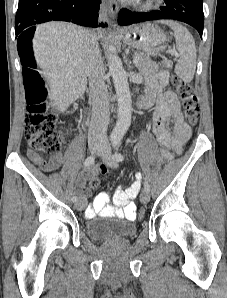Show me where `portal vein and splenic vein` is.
<instances>
[{"instance_id": "1", "label": "portal vein and splenic vein", "mask_w": 227, "mask_h": 298, "mask_svg": "<svg viewBox=\"0 0 227 298\" xmlns=\"http://www.w3.org/2000/svg\"><path fill=\"white\" fill-rule=\"evenodd\" d=\"M168 52H171V53H173L176 57H178V54H177V52H174V51H167V53ZM139 62V58L137 57V56H134L133 57V63L134 64H137Z\"/></svg>"}]
</instances>
